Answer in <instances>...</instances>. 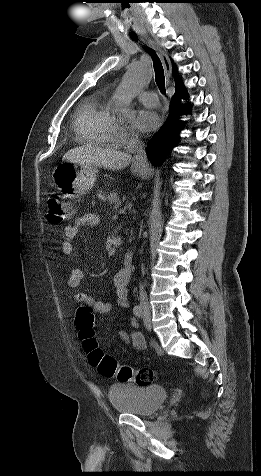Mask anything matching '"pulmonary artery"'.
Listing matches in <instances>:
<instances>
[{
	"label": "pulmonary artery",
	"instance_id": "e3ab8cb5",
	"mask_svg": "<svg viewBox=\"0 0 261 476\" xmlns=\"http://www.w3.org/2000/svg\"><path fill=\"white\" fill-rule=\"evenodd\" d=\"M137 98L145 106L156 107L158 105V96L154 91H141Z\"/></svg>",
	"mask_w": 261,
	"mask_h": 476
}]
</instances>
